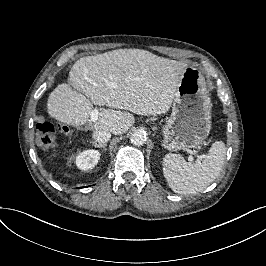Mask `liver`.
I'll list each match as a JSON object with an SVG mask.
<instances>
[{
  "mask_svg": "<svg viewBox=\"0 0 266 266\" xmlns=\"http://www.w3.org/2000/svg\"><path fill=\"white\" fill-rule=\"evenodd\" d=\"M185 67L142 49L82 57L69 72L76 90L66 83L58 85L49 95L47 111L60 122L80 126L88 121L93 104L106 105L111 109H103L93 127L121 135L135 123L127 111L146 116L169 110Z\"/></svg>",
  "mask_w": 266,
  "mask_h": 266,
  "instance_id": "6515ba94",
  "label": "liver"
}]
</instances>
